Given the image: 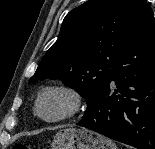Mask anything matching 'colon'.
I'll list each match as a JSON object with an SVG mask.
<instances>
[{
    "label": "colon",
    "mask_w": 155,
    "mask_h": 149,
    "mask_svg": "<svg viewBox=\"0 0 155 149\" xmlns=\"http://www.w3.org/2000/svg\"><path fill=\"white\" fill-rule=\"evenodd\" d=\"M14 149H30V147L24 144H18L14 147Z\"/></svg>",
    "instance_id": "5ec220e1"
}]
</instances>
